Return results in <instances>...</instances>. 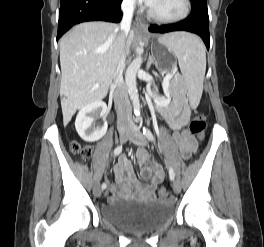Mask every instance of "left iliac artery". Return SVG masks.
<instances>
[{
  "label": "left iliac artery",
  "mask_w": 264,
  "mask_h": 247,
  "mask_svg": "<svg viewBox=\"0 0 264 247\" xmlns=\"http://www.w3.org/2000/svg\"><path fill=\"white\" fill-rule=\"evenodd\" d=\"M143 134L146 136V138L148 140L153 141V142L155 141V137L149 128L143 127ZM169 177L172 181L175 178V173H174V170L172 169V167H169Z\"/></svg>",
  "instance_id": "obj_1"
}]
</instances>
